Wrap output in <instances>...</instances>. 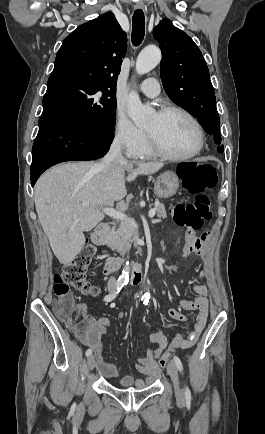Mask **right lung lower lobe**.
Here are the masks:
<instances>
[{"instance_id":"98d812e1","label":"right lung lower lobe","mask_w":265,"mask_h":434,"mask_svg":"<svg viewBox=\"0 0 265 434\" xmlns=\"http://www.w3.org/2000/svg\"><path fill=\"white\" fill-rule=\"evenodd\" d=\"M113 138V132L86 126L58 108H43L32 149L31 185L57 163L103 157Z\"/></svg>"}]
</instances>
